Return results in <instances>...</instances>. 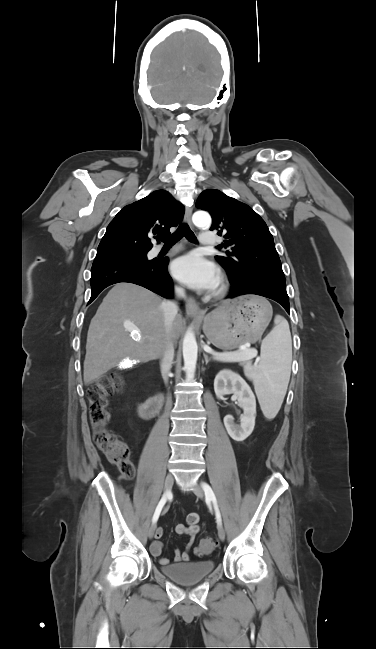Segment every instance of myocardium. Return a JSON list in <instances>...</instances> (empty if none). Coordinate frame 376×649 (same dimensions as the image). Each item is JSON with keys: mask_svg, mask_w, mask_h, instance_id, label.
<instances>
[{"mask_svg": "<svg viewBox=\"0 0 376 649\" xmlns=\"http://www.w3.org/2000/svg\"><path fill=\"white\" fill-rule=\"evenodd\" d=\"M227 287L228 285L225 277L221 276L218 281L217 287L213 292V296L216 298L222 297L226 293Z\"/></svg>", "mask_w": 376, "mask_h": 649, "instance_id": "myocardium-1", "label": "myocardium"}]
</instances>
